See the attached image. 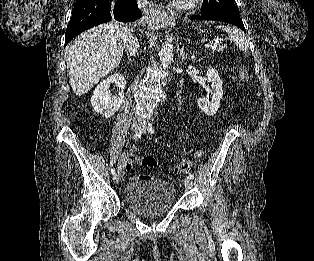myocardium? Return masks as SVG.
<instances>
[{"instance_id":"myocardium-1","label":"myocardium","mask_w":314,"mask_h":261,"mask_svg":"<svg viewBox=\"0 0 314 261\" xmlns=\"http://www.w3.org/2000/svg\"><path fill=\"white\" fill-rule=\"evenodd\" d=\"M203 0H173V4L180 10L196 9Z\"/></svg>"}]
</instances>
